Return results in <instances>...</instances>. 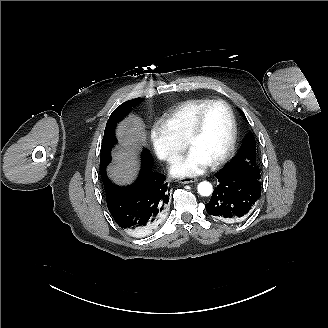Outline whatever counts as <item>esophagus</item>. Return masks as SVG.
<instances>
[{
  "instance_id": "34e87169",
  "label": "esophagus",
  "mask_w": 328,
  "mask_h": 328,
  "mask_svg": "<svg viewBox=\"0 0 328 328\" xmlns=\"http://www.w3.org/2000/svg\"><path fill=\"white\" fill-rule=\"evenodd\" d=\"M176 181L181 184H186V183H194L197 181V179L194 177H182L177 179Z\"/></svg>"
}]
</instances>
